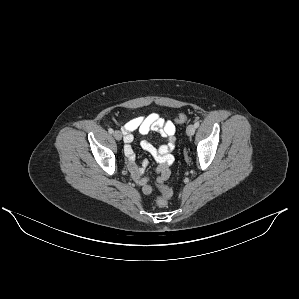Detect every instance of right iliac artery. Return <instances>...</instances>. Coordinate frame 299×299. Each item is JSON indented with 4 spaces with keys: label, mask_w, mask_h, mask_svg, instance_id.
<instances>
[{
    "label": "right iliac artery",
    "mask_w": 299,
    "mask_h": 299,
    "mask_svg": "<svg viewBox=\"0 0 299 299\" xmlns=\"http://www.w3.org/2000/svg\"><path fill=\"white\" fill-rule=\"evenodd\" d=\"M108 132H109L110 134H112L114 131H113L112 128H109V129H108Z\"/></svg>",
    "instance_id": "right-iliac-artery-1"
}]
</instances>
